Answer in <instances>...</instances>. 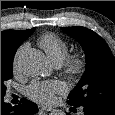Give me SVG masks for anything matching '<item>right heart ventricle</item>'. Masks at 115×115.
<instances>
[{"label":"right heart ventricle","mask_w":115,"mask_h":115,"mask_svg":"<svg viewBox=\"0 0 115 115\" xmlns=\"http://www.w3.org/2000/svg\"><path fill=\"white\" fill-rule=\"evenodd\" d=\"M38 44L56 66H60L68 55V44L54 33L43 34L39 38Z\"/></svg>","instance_id":"right-heart-ventricle-1"}]
</instances>
